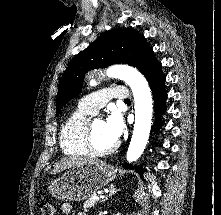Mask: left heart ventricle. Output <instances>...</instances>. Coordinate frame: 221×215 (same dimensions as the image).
<instances>
[{
  "mask_svg": "<svg viewBox=\"0 0 221 215\" xmlns=\"http://www.w3.org/2000/svg\"><path fill=\"white\" fill-rule=\"evenodd\" d=\"M93 127V139L95 145L100 149H105L112 146L115 141H113L105 131L104 121L100 119H95L92 121Z\"/></svg>",
  "mask_w": 221,
  "mask_h": 215,
  "instance_id": "obj_1",
  "label": "left heart ventricle"
}]
</instances>
